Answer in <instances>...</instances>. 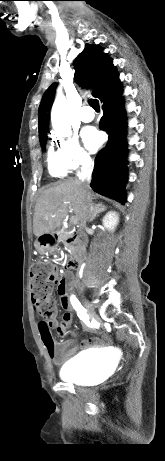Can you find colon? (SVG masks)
Returning <instances> with one entry per match:
<instances>
[{
  "instance_id": "5ec220e1",
  "label": "colon",
  "mask_w": 165,
  "mask_h": 461,
  "mask_svg": "<svg viewBox=\"0 0 165 461\" xmlns=\"http://www.w3.org/2000/svg\"><path fill=\"white\" fill-rule=\"evenodd\" d=\"M31 296L38 313L45 319H50L56 314L55 302L51 299L53 287L58 283V277H62L58 269L51 263L36 261L30 270ZM50 327L42 322V338L48 346L54 345V339Z\"/></svg>"
}]
</instances>
